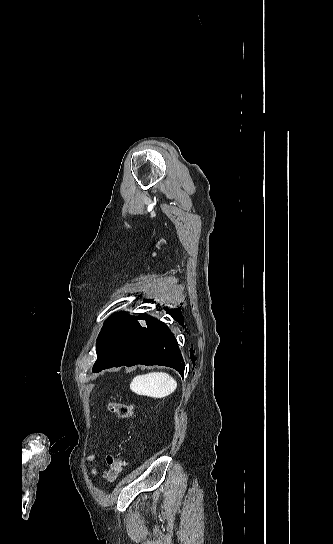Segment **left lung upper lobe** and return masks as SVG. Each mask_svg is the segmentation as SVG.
Instances as JSON below:
<instances>
[{
	"label": "left lung upper lobe",
	"mask_w": 333,
	"mask_h": 544,
	"mask_svg": "<svg viewBox=\"0 0 333 544\" xmlns=\"http://www.w3.org/2000/svg\"><path fill=\"white\" fill-rule=\"evenodd\" d=\"M128 318H129V319L131 318V319H132L134 322H136V323H138V321H137L138 319H139V320H144V321L146 322V325L148 326V328L153 327L154 325H156V324L159 322L155 317L149 316L148 314H145V313H144V314H140V315L137 316V317H131V316L126 315V313L121 312V313H118V314H116V315L110 317V318L106 321V323L109 322V321H112V320H122V319H123V320H126V319H128ZM103 339H104V332L102 331L101 334H100V336H99V343H98V345H97V356H98V358H97V360H96V362H95L93 368H95L96 366L100 365V364L103 362V360H104L106 351H105V349H104L103 346H102V341H103Z\"/></svg>",
	"instance_id": "left-lung-upper-lobe-1"
}]
</instances>
